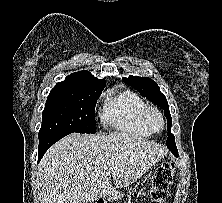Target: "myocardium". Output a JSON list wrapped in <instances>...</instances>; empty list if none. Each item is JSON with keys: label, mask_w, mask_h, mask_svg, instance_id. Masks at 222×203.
<instances>
[{"label": "myocardium", "mask_w": 222, "mask_h": 203, "mask_svg": "<svg viewBox=\"0 0 222 203\" xmlns=\"http://www.w3.org/2000/svg\"><path fill=\"white\" fill-rule=\"evenodd\" d=\"M153 115L157 116L161 121V128L159 130L154 129L152 124H151V117ZM143 121H144V124L150 130L151 133H160L164 129V126H165L164 116L162 115L160 110H158L155 107H148L145 110V112L143 114Z\"/></svg>", "instance_id": "f54148a6"}]
</instances>
